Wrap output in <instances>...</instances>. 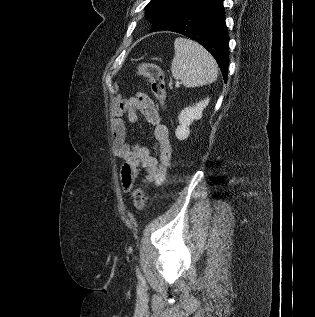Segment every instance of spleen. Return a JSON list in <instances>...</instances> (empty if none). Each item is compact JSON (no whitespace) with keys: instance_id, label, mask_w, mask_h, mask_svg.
<instances>
[{"instance_id":"1","label":"spleen","mask_w":315,"mask_h":317,"mask_svg":"<svg viewBox=\"0 0 315 317\" xmlns=\"http://www.w3.org/2000/svg\"><path fill=\"white\" fill-rule=\"evenodd\" d=\"M174 50L172 76L180 80L185 87H199L216 81L218 65L199 43L178 37L174 41Z\"/></svg>"}]
</instances>
